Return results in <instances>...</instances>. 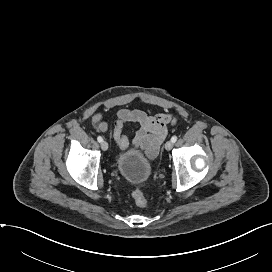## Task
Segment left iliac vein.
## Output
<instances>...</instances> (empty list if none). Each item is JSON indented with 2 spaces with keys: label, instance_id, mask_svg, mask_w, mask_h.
I'll list each match as a JSON object with an SVG mask.
<instances>
[{
  "label": "left iliac vein",
  "instance_id": "left-iliac-vein-1",
  "mask_svg": "<svg viewBox=\"0 0 272 272\" xmlns=\"http://www.w3.org/2000/svg\"><path fill=\"white\" fill-rule=\"evenodd\" d=\"M172 147H173V142H172V141H167V142L165 143V149H166L167 151L171 150Z\"/></svg>",
  "mask_w": 272,
  "mask_h": 272
}]
</instances>
